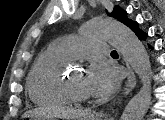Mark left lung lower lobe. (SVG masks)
<instances>
[{
    "label": "left lung lower lobe",
    "mask_w": 165,
    "mask_h": 120,
    "mask_svg": "<svg viewBox=\"0 0 165 120\" xmlns=\"http://www.w3.org/2000/svg\"><path fill=\"white\" fill-rule=\"evenodd\" d=\"M128 27H130L140 39H146L147 34L138 29L137 22L132 21Z\"/></svg>",
    "instance_id": "left-lung-lower-lobe-1"
}]
</instances>
